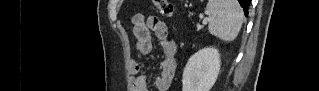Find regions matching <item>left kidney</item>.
Instances as JSON below:
<instances>
[{"mask_svg":"<svg viewBox=\"0 0 319 91\" xmlns=\"http://www.w3.org/2000/svg\"><path fill=\"white\" fill-rule=\"evenodd\" d=\"M218 49L207 47L193 54L183 71L182 91H210L220 73Z\"/></svg>","mask_w":319,"mask_h":91,"instance_id":"left-kidney-1","label":"left kidney"}]
</instances>
